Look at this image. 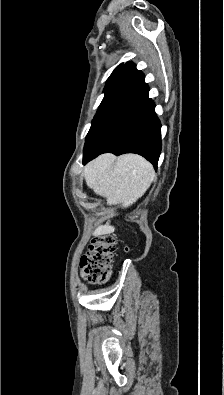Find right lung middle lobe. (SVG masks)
Wrapping results in <instances>:
<instances>
[{"instance_id": "right-lung-middle-lobe-1", "label": "right lung middle lobe", "mask_w": 224, "mask_h": 395, "mask_svg": "<svg viewBox=\"0 0 224 395\" xmlns=\"http://www.w3.org/2000/svg\"><path fill=\"white\" fill-rule=\"evenodd\" d=\"M117 75H118V74H113V75H111V76L109 77V79L107 80L106 86H105V88H104L105 95H106L107 92L111 89L112 85H113L114 82H115V79H116Z\"/></svg>"}]
</instances>
